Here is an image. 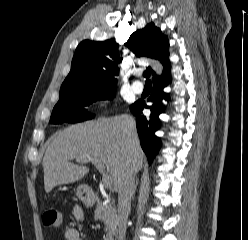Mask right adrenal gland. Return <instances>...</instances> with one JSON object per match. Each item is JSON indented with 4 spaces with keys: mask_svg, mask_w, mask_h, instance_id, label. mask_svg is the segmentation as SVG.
<instances>
[{
    "mask_svg": "<svg viewBox=\"0 0 248 240\" xmlns=\"http://www.w3.org/2000/svg\"><path fill=\"white\" fill-rule=\"evenodd\" d=\"M138 179L136 180V184L134 186V189H133V195H132V199H134V195H135V192H136V189H137V186H138Z\"/></svg>",
    "mask_w": 248,
    "mask_h": 240,
    "instance_id": "right-adrenal-gland-1",
    "label": "right adrenal gland"
}]
</instances>
